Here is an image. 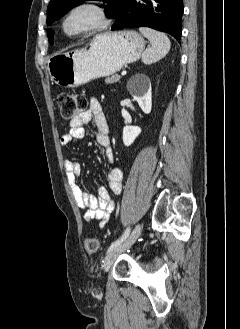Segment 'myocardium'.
Instances as JSON below:
<instances>
[{
    "label": "myocardium",
    "instance_id": "f54148a6",
    "mask_svg": "<svg viewBox=\"0 0 240 329\" xmlns=\"http://www.w3.org/2000/svg\"><path fill=\"white\" fill-rule=\"evenodd\" d=\"M91 9L96 14V21L86 27L69 30L67 27L68 21L79 10ZM110 15L106 5L100 0H80L73 4L62 16L60 20V30L66 37L77 38L96 31H100L108 27L110 24Z\"/></svg>",
    "mask_w": 240,
    "mask_h": 329
}]
</instances>
